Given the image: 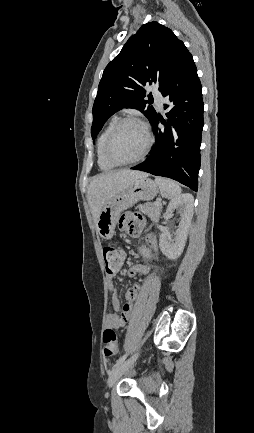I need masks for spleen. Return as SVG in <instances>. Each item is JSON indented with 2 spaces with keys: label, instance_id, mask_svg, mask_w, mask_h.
<instances>
[{
  "label": "spleen",
  "instance_id": "3e777b00",
  "mask_svg": "<svg viewBox=\"0 0 254 433\" xmlns=\"http://www.w3.org/2000/svg\"><path fill=\"white\" fill-rule=\"evenodd\" d=\"M155 183L159 187L161 195L167 199L176 198L182 191L178 183L168 178L156 177Z\"/></svg>",
  "mask_w": 254,
  "mask_h": 433
}]
</instances>
